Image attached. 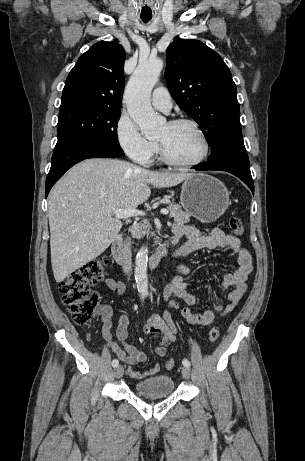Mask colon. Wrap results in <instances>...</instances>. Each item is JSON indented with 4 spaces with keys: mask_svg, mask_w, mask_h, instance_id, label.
I'll use <instances>...</instances> for the list:
<instances>
[{
    "mask_svg": "<svg viewBox=\"0 0 305 461\" xmlns=\"http://www.w3.org/2000/svg\"><path fill=\"white\" fill-rule=\"evenodd\" d=\"M229 227L236 236H242L244 233V226L238 218H231ZM108 264L109 258L100 256L72 272L59 284L62 302L76 324L91 326L94 323L100 295L91 286L104 277ZM219 335V330L212 328L208 333V339L215 342ZM165 367L172 370L175 367L174 359H168Z\"/></svg>",
    "mask_w": 305,
    "mask_h": 461,
    "instance_id": "5ec220e1",
    "label": "colon"
}]
</instances>
